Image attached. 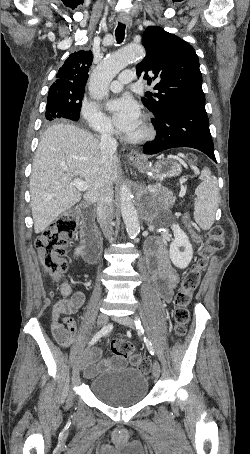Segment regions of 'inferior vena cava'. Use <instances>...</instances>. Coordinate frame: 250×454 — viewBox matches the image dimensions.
Segmentation results:
<instances>
[{
  "label": "inferior vena cava",
  "mask_w": 250,
  "mask_h": 454,
  "mask_svg": "<svg viewBox=\"0 0 250 454\" xmlns=\"http://www.w3.org/2000/svg\"><path fill=\"white\" fill-rule=\"evenodd\" d=\"M101 162L103 165L101 192L97 201V219L100 223L102 232L107 239H111L113 235L112 220H113V187L110 178L107 174L109 162L116 152L117 141L112 136V131L105 129L101 132L100 137Z\"/></svg>",
  "instance_id": "obj_1"
}]
</instances>
